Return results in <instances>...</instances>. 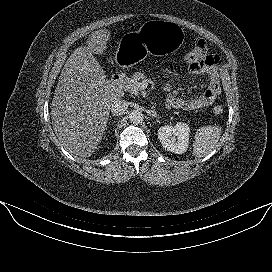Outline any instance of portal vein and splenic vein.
<instances>
[{
  "label": "portal vein and splenic vein",
  "mask_w": 272,
  "mask_h": 272,
  "mask_svg": "<svg viewBox=\"0 0 272 272\" xmlns=\"http://www.w3.org/2000/svg\"><path fill=\"white\" fill-rule=\"evenodd\" d=\"M139 86H140V87H143V86H144V83H139Z\"/></svg>",
  "instance_id": "18ae733b"
}]
</instances>
